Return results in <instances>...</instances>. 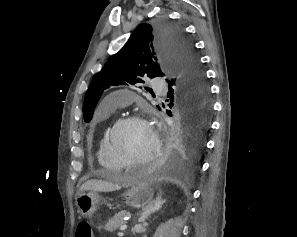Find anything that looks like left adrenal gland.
Instances as JSON below:
<instances>
[{"label": "left adrenal gland", "instance_id": "left-adrenal-gland-1", "mask_svg": "<svg viewBox=\"0 0 297 237\" xmlns=\"http://www.w3.org/2000/svg\"><path fill=\"white\" fill-rule=\"evenodd\" d=\"M161 196L162 193L158 195L157 199L153 201L152 204H150L142 210L140 218L138 219L139 222H144L148 218V216L162 208L163 204L165 203V200H163Z\"/></svg>", "mask_w": 297, "mask_h": 237}]
</instances>
